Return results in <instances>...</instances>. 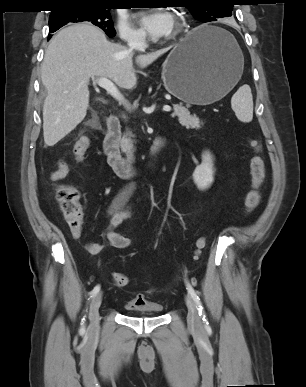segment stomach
I'll return each instance as SVG.
<instances>
[{
  "mask_svg": "<svg viewBox=\"0 0 306 387\" xmlns=\"http://www.w3.org/2000/svg\"><path fill=\"white\" fill-rule=\"evenodd\" d=\"M244 57L224 29L202 25L169 53L162 66L165 88L187 104L208 105L222 99L240 80Z\"/></svg>",
  "mask_w": 306,
  "mask_h": 387,
  "instance_id": "obj_1",
  "label": "stomach"
}]
</instances>
